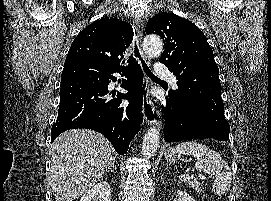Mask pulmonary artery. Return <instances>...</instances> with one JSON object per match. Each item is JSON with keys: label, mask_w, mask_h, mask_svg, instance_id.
<instances>
[{"label": "pulmonary artery", "mask_w": 271, "mask_h": 201, "mask_svg": "<svg viewBox=\"0 0 271 201\" xmlns=\"http://www.w3.org/2000/svg\"><path fill=\"white\" fill-rule=\"evenodd\" d=\"M155 73L161 77H165L169 79V81L172 83L174 87L177 86V80L176 77L173 75V73L168 69L167 66H165L162 62H159L155 66Z\"/></svg>", "instance_id": "pulmonary-artery-1"}]
</instances>
